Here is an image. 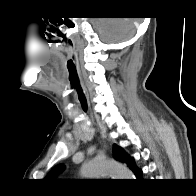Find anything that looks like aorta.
Listing matches in <instances>:
<instances>
[{"label": "aorta", "mask_w": 196, "mask_h": 196, "mask_svg": "<svg viewBox=\"0 0 196 196\" xmlns=\"http://www.w3.org/2000/svg\"><path fill=\"white\" fill-rule=\"evenodd\" d=\"M84 177L111 176L114 179H133V173L123 164L111 159H94L82 165Z\"/></svg>", "instance_id": "1"}]
</instances>
